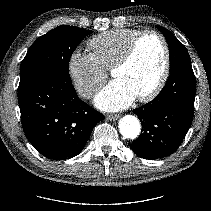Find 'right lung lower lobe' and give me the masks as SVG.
<instances>
[{
    "label": "right lung lower lobe",
    "instance_id": "98d812e1",
    "mask_svg": "<svg viewBox=\"0 0 211 211\" xmlns=\"http://www.w3.org/2000/svg\"><path fill=\"white\" fill-rule=\"evenodd\" d=\"M18 102L27 139L52 160L78 155L95 124L104 119L78 98L72 82L51 74L20 83Z\"/></svg>",
    "mask_w": 211,
    "mask_h": 211
}]
</instances>
